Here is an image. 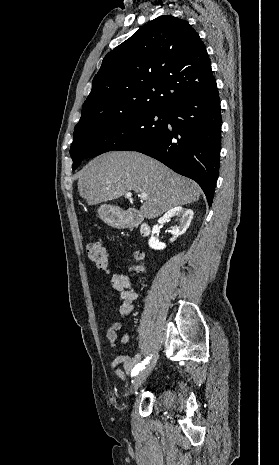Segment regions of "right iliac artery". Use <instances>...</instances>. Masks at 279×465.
Masks as SVG:
<instances>
[{"label":"right iliac artery","instance_id":"obj_1","mask_svg":"<svg viewBox=\"0 0 279 465\" xmlns=\"http://www.w3.org/2000/svg\"><path fill=\"white\" fill-rule=\"evenodd\" d=\"M151 357H147L142 363L138 364L132 371V376H135L140 370L144 369L145 366L149 363Z\"/></svg>","mask_w":279,"mask_h":465}]
</instances>
